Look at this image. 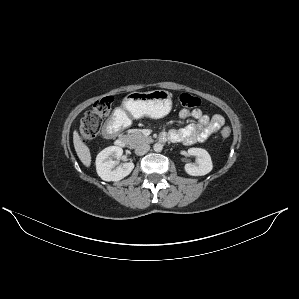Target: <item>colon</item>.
Masks as SVG:
<instances>
[{
	"label": "colon",
	"instance_id": "1",
	"mask_svg": "<svg viewBox=\"0 0 299 299\" xmlns=\"http://www.w3.org/2000/svg\"><path fill=\"white\" fill-rule=\"evenodd\" d=\"M178 103L185 109H191L200 105L199 98L188 93H181L178 96ZM113 98L104 97L96 101L92 108L87 111L80 122L79 132L82 139L86 142L92 141L98 135L102 121L107 117L112 109ZM231 129L225 126L221 129V136L223 138L229 137Z\"/></svg>",
	"mask_w": 299,
	"mask_h": 299
}]
</instances>
